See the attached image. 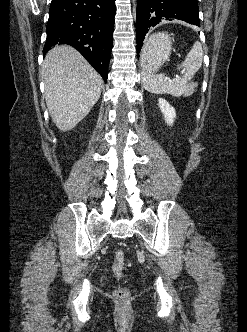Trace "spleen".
<instances>
[{
  "instance_id": "3e777b00",
  "label": "spleen",
  "mask_w": 247,
  "mask_h": 332,
  "mask_svg": "<svg viewBox=\"0 0 247 332\" xmlns=\"http://www.w3.org/2000/svg\"><path fill=\"white\" fill-rule=\"evenodd\" d=\"M203 60V50L199 42H195L185 60L177 67L183 73L182 77L165 79L164 74H147L142 78L144 88L154 94H170L174 97L189 95V82L200 69Z\"/></svg>"
}]
</instances>
